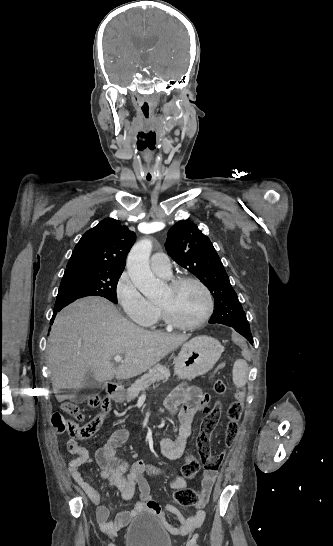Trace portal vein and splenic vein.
Listing matches in <instances>:
<instances>
[{"mask_svg": "<svg viewBox=\"0 0 333 546\" xmlns=\"http://www.w3.org/2000/svg\"><path fill=\"white\" fill-rule=\"evenodd\" d=\"M122 361H123V359H122V357H121L120 355L114 356V362L120 363V362H122Z\"/></svg>", "mask_w": 333, "mask_h": 546, "instance_id": "18ae733b", "label": "portal vein and splenic vein"}]
</instances>
